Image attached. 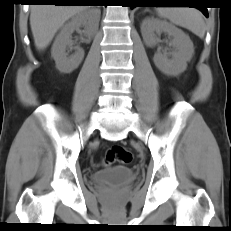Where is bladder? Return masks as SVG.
Wrapping results in <instances>:
<instances>
[{
    "instance_id": "obj_1",
    "label": "bladder",
    "mask_w": 231,
    "mask_h": 231,
    "mask_svg": "<svg viewBox=\"0 0 231 231\" xmlns=\"http://www.w3.org/2000/svg\"><path fill=\"white\" fill-rule=\"evenodd\" d=\"M135 178L133 170L126 167L105 169L90 175L92 183L102 187L128 185L134 182Z\"/></svg>"
}]
</instances>
